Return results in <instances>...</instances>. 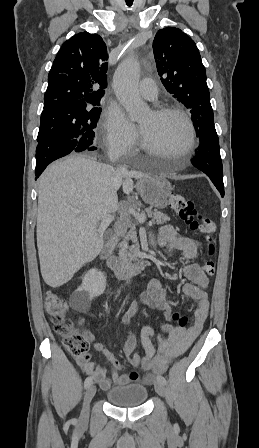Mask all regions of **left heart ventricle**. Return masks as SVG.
Here are the masks:
<instances>
[{"label":"left heart ventricle","mask_w":259,"mask_h":448,"mask_svg":"<svg viewBox=\"0 0 259 448\" xmlns=\"http://www.w3.org/2000/svg\"><path fill=\"white\" fill-rule=\"evenodd\" d=\"M137 123L144 140L156 149L155 154L179 158L177 149L187 137L186 125L180 117L172 113L156 116L150 111Z\"/></svg>","instance_id":"1"}]
</instances>
